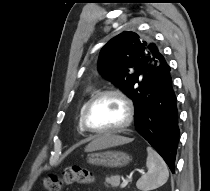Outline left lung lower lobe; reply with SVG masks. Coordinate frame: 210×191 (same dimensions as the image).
<instances>
[{
	"label": "left lung lower lobe",
	"instance_id": "0a47b994",
	"mask_svg": "<svg viewBox=\"0 0 210 191\" xmlns=\"http://www.w3.org/2000/svg\"><path fill=\"white\" fill-rule=\"evenodd\" d=\"M135 128L174 173L180 130L176 96L167 63L159 67L152 79V88L139 99L135 110Z\"/></svg>",
	"mask_w": 210,
	"mask_h": 191
}]
</instances>
